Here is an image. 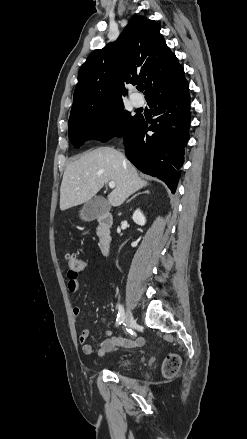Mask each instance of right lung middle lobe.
Instances as JSON below:
<instances>
[{
    "instance_id": "dd1d6c3e",
    "label": "right lung middle lobe",
    "mask_w": 247,
    "mask_h": 439,
    "mask_svg": "<svg viewBox=\"0 0 247 439\" xmlns=\"http://www.w3.org/2000/svg\"><path fill=\"white\" fill-rule=\"evenodd\" d=\"M138 117L124 110L123 101L94 108L69 118V138L76 148L88 139L108 141L121 137Z\"/></svg>"
}]
</instances>
